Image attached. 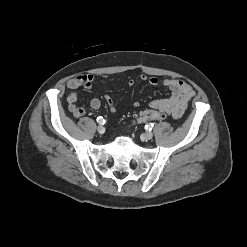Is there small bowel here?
Here are the masks:
<instances>
[{
  "mask_svg": "<svg viewBox=\"0 0 247 247\" xmlns=\"http://www.w3.org/2000/svg\"><path fill=\"white\" fill-rule=\"evenodd\" d=\"M140 80L147 82L152 86L159 84V79L153 76L141 75ZM94 82V76L91 74H81L69 79L66 83L67 88L70 90L66 96L68 103V109L76 118H81L85 115L84 108L76 104L78 100V94L75 91L79 87L91 89ZM135 80L130 79L128 81L129 86H133ZM163 85L171 90V96L167 99H156L150 102L152 109L158 110L164 116H171L175 119L180 118L187 109L188 103L194 96L193 88L185 81L180 79H165ZM106 103L111 112L117 111L116 104L110 95L105 96ZM101 106V101L97 97H93L90 100V108L98 110ZM134 107H139L140 103L135 101Z\"/></svg>",
  "mask_w": 247,
  "mask_h": 247,
  "instance_id": "c3829d8e",
  "label": "small bowel"
}]
</instances>
